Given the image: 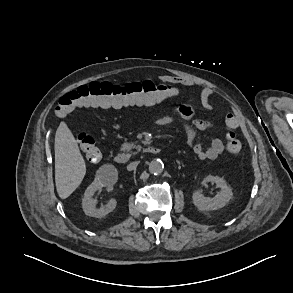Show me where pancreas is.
Wrapping results in <instances>:
<instances>
[{"instance_id": "obj_1", "label": "pancreas", "mask_w": 293, "mask_h": 293, "mask_svg": "<svg viewBox=\"0 0 293 293\" xmlns=\"http://www.w3.org/2000/svg\"><path fill=\"white\" fill-rule=\"evenodd\" d=\"M132 149L140 151L142 147L140 145H136L135 143H123L121 146V150L127 153L131 152ZM134 154H136V152H134Z\"/></svg>"}]
</instances>
